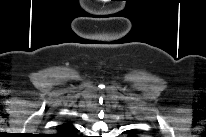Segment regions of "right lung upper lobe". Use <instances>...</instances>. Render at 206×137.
<instances>
[{"label": "right lung upper lobe", "mask_w": 206, "mask_h": 137, "mask_svg": "<svg viewBox=\"0 0 206 137\" xmlns=\"http://www.w3.org/2000/svg\"><path fill=\"white\" fill-rule=\"evenodd\" d=\"M57 132L58 134L62 136H69L73 135L77 132V129L74 128L71 122L64 123L62 125L57 126Z\"/></svg>", "instance_id": "1"}]
</instances>
